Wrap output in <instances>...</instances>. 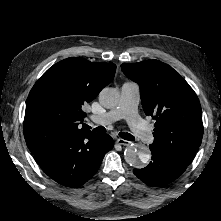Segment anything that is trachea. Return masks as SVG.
I'll use <instances>...</instances> for the list:
<instances>
[{"instance_id":"obj_1","label":"trachea","mask_w":221,"mask_h":221,"mask_svg":"<svg viewBox=\"0 0 221 221\" xmlns=\"http://www.w3.org/2000/svg\"><path fill=\"white\" fill-rule=\"evenodd\" d=\"M94 131L98 132V133H105L106 129L102 126H98V127L94 128ZM119 136L121 138L125 139V140H128V141H134L135 140L134 136H132L129 133L120 132Z\"/></svg>"}]
</instances>
